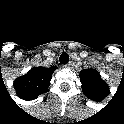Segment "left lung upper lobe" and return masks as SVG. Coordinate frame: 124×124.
Instances as JSON below:
<instances>
[{"mask_svg":"<svg viewBox=\"0 0 124 124\" xmlns=\"http://www.w3.org/2000/svg\"><path fill=\"white\" fill-rule=\"evenodd\" d=\"M83 93L90 99H100L107 90L106 83L94 69H85L80 72Z\"/></svg>","mask_w":124,"mask_h":124,"instance_id":"5c2ea615","label":"left lung upper lobe"}]
</instances>
